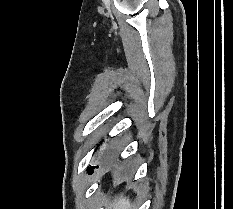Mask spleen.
<instances>
[{"mask_svg":"<svg viewBox=\"0 0 233 209\" xmlns=\"http://www.w3.org/2000/svg\"><path fill=\"white\" fill-rule=\"evenodd\" d=\"M109 209H132L128 198H120L118 201L109 204Z\"/></svg>","mask_w":233,"mask_h":209,"instance_id":"obj_1","label":"spleen"}]
</instances>
